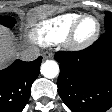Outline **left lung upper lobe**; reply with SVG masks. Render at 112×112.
<instances>
[{"instance_id": "5c2ea615", "label": "left lung upper lobe", "mask_w": 112, "mask_h": 112, "mask_svg": "<svg viewBox=\"0 0 112 112\" xmlns=\"http://www.w3.org/2000/svg\"><path fill=\"white\" fill-rule=\"evenodd\" d=\"M112 29V13L105 12V30Z\"/></svg>"}]
</instances>
